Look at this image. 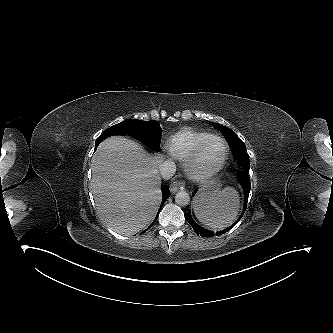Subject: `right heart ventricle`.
<instances>
[{"label":"right heart ventricle","mask_w":333,"mask_h":333,"mask_svg":"<svg viewBox=\"0 0 333 333\" xmlns=\"http://www.w3.org/2000/svg\"><path fill=\"white\" fill-rule=\"evenodd\" d=\"M210 135L204 131L183 129L169 138L168 150L175 158L185 161L193 154L198 145Z\"/></svg>","instance_id":"obj_1"}]
</instances>
